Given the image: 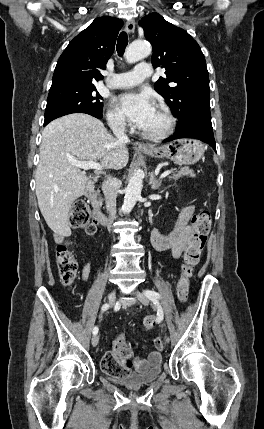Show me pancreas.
<instances>
[{
  "instance_id": "obj_1",
  "label": "pancreas",
  "mask_w": 264,
  "mask_h": 429,
  "mask_svg": "<svg viewBox=\"0 0 264 429\" xmlns=\"http://www.w3.org/2000/svg\"><path fill=\"white\" fill-rule=\"evenodd\" d=\"M183 176H189V177H194V171L192 169H190L189 167L185 166L182 167L179 171L175 172L172 176L169 177L170 180H178L180 178H182ZM99 192H97L98 194ZM101 201V199H100Z\"/></svg>"
}]
</instances>
